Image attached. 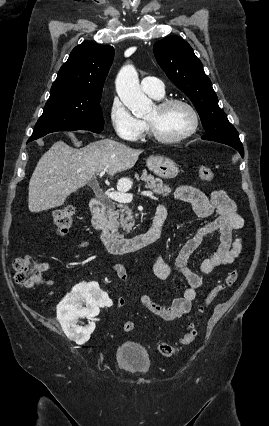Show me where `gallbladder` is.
Here are the masks:
<instances>
[{"label": "gallbladder", "instance_id": "bac80fb5", "mask_svg": "<svg viewBox=\"0 0 269 426\" xmlns=\"http://www.w3.org/2000/svg\"><path fill=\"white\" fill-rule=\"evenodd\" d=\"M94 184H95L94 182H91V183H90V186H93Z\"/></svg>", "mask_w": 269, "mask_h": 426}]
</instances>
